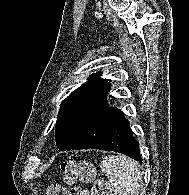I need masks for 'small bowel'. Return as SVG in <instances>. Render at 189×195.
Instances as JSON below:
<instances>
[{
    "label": "small bowel",
    "mask_w": 189,
    "mask_h": 195,
    "mask_svg": "<svg viewBox=\"0 0 189 195\" xmlns=\"http://www.w3.org/2000/svg\"><path fill=\"white\" fill-rule=\"evenodd\" d=\"M80 195H90V191L88 189H84L80 192Z\"/></svg>",
    "instance_id": "obj_1"
}]
</instances>
